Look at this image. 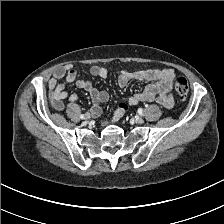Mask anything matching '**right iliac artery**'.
<instances>
[{"instance_id": "obj_1", "label": "right iliac artery", "mask_w": 224, "mask_h": 224, "mask_svg": "<svg viewBox=\"0 0 224 224\" xmlns=\"http://www.w3.org/2000/svg\"><path fill=\"white\" fill-rule=\"evenodd\" d=\"M85 115H86V114H85ZM85 115H84V114H81V115H80V118H81V119H84V118H85Z\"/></svg>"}]
</instances>
